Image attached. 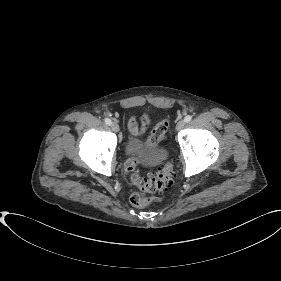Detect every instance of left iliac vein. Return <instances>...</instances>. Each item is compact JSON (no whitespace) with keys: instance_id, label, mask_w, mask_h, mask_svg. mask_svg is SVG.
<instances>
[{"instance_id":"4c4485c4","label":"left iliac vein","mask_w":281,"mask_h":281,"mask_svg":"<svg viewBox=\"0 0 281 281\" xmlns=\"http://www.w3.org/2000/svg\"><path fill=\"white\" fill-rule=\"evenodd\" d=\"M185 126V121L184 120H180L177 124H176V131H180L181 129H183Z\"/></svg>"}]
</instances>
